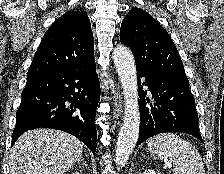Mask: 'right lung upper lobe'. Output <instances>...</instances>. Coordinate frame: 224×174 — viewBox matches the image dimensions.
Segmentation results:
<instances>
[{
  "mask_svg": "<svg viewBox=\"0 0 224 174\" xmlns=\"http://www.w3.org/2000/svg\"><path fill=\"white\" fill-rule=\"evenodd\" d=\"M94 61L90 20L83 11H68L46 31L27 73V79L73 69Z\"/></svg>",
  "mask_w": 224,
  "mask_h": 174,
  "instance_id": "obj_1",
  "label": "right lung upper lobe"
}]
</instances>
